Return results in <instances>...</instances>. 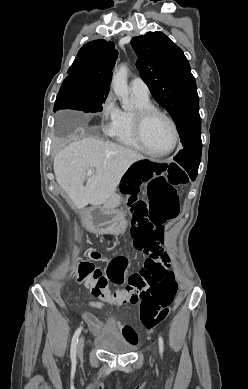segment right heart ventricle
<instances>
[{"mask_svg": "<svg viewBox=\"0 0 248 389\" xmlns=\"http://www.w3.org/2000/svg\"><path fill=\"white\" fill-rule=\"evenodd\" d=\"M135 103H136V109L142 108V107H148L152 106L150 99L147 98H141L138 96H135ZM128 111V110H119V114L116 120V123L114 125V128L111 132V137H113L117 142L130 147L135 150L143 151L142 147L140 146L139 142L136 139L135 133H134V112Z\"/></svg>", "mask_w": 248, "mask_h": 389, "instance_id": "e07e8e85", "label": "right heart ventricle"}]
</instances>
